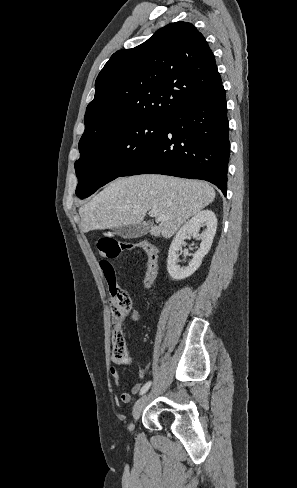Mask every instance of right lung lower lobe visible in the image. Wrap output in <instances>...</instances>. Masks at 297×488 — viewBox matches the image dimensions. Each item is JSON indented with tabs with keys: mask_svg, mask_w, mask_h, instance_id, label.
<instances>
[{
	"mask_svg": "<svg viewBox=\"0 0 297 488\" xmlns=\"http://www.w3.org/2000/svg\"><path fill=\"white\" fill-rule=\"evenodd\" d=\"M226 112L221 82L168 118L157 140L120 176L164 174L202 179L226 196L230 154Z\"/></svg>",
	"mask_w": 297,
	"mask_h": 488,
	"instance_id": "1",
	"label": "right lung lower lobe"
}]
</instances>
